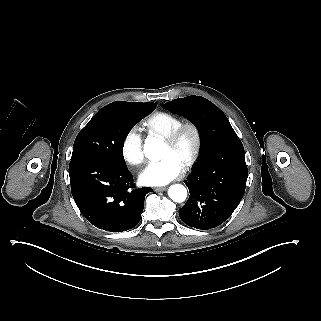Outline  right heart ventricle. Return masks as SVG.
<instances>
[{"label":"right heart ventricle","mask_w":321,"mask_h":321,"mask_svg":"<svg viewBox=\"0 0 321 321\" xmlns=\"http://www.w3.org/2000/svg\"><path fill=\"white\" fill-rule=\"evenodd\" d=\"M182 123H184L182 118L163 111L154 112L146 119L149 132L160 137L170 134Z\"/></svg>","instance_id":"1"}]
</instances>
